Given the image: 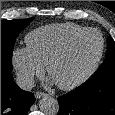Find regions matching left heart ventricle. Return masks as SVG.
Here are the masks:
<instances>
[{
	"instance_id": "obj_1",
	"label": "left heart ventricle",
	"mask_w": 115,
	"mask_h": 115,
	"mask_svg": "<svg viewBox=\"0 0 115 115\" xmlns=\"http://www.w3.org/2000/svg\"><path fill=\"white\" fill-rule=\"evenodd\" d=\"M100 50V38L88 33L78 39L67 56L58 63L52 73L53 80L69 82L84 73L94 62Z\"/></svg>"
}]
</instances>
